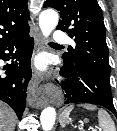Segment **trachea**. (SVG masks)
Returning a JSON list of instances; mask_svg holds the SVG:
<instances>
[{
    "label": "trachea",
    "mask_w": 117,
    "mask_h": 131,
    "mask_svg": "<svg viewBox=\"0 0 117 131\" xmlns=\"http://www.w3.org/2000/svg\"><path fill=\"white\" fill-rule=\"evenodd\" d=\"M52 44L58 45L57 43H53V42H52Z\"/></svg>",
    "instance_id": "1"
}]
</instances>
